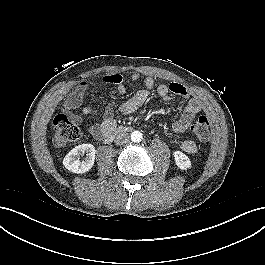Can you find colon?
I'll return each mask as SVG.
<instances>
[{
    "label": "colon",
    "instance_id": "colon-1",
    "mask_svg": "<svg viewBox=\"0 0 265 265\" xmlns=\"http://www.w3.org/2000/svg\"><path fill=\"white\" fill-rule=\"evenodd\" d=\"M191 132L201 142L209 140L210 123L206 116L199 115L191 124ZM81 136L78 124L71 120L66 114H58L54 119V143L63 147L77 141Z\"/></svg>",
    "mask_w": 265,
    "mask_h": 265
}]
</instances>
